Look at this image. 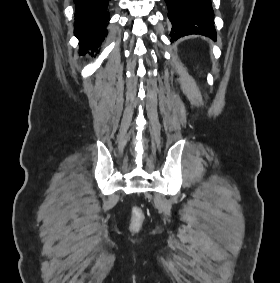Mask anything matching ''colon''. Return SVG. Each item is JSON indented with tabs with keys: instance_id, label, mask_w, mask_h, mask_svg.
<instances>
[{
	"instance_id": "colon-1",
	"label": "colon",
	"mask_w": 280,
	"mask_h": 283,
	"mask_svg": "<svg viewBox=\"0 0 280 283\" xmlns=\"http://www.w3.org/2000/svg\"><path fill=\"white\" fill-rule=\"evenodd\" d=\"M144 219H145V216L142 210L138 207H134L132 211L131 221H130L131 230L133 231L140 230L144 224Z\"/></svg>"
}]
</instances>
